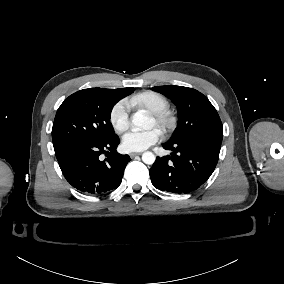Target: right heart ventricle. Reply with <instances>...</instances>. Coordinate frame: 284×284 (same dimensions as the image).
<instances>
[{
  "mask_svg": "<svg viewBox=\"0 0 284 284\" xmlns=\"http://www.w3.org/2000/svg\"><path fill=\"white\" fill-rule=\"evenodd\" d=\"M138 103L153 113H160L168 110L169 102L167 98L155 91L148 90L139 95Z\"/></svg>",
  "mask_w": 284,
  "mask_h": 284,
  "instance_id": "1",
  "label": "right heart ventricle"
}]
</instances>
